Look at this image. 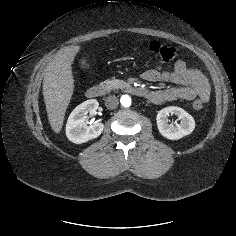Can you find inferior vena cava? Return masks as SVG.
<instances>
[{
    "label": "inferior vena cava",
    "mask_w": 236,
    "mask_h": 236,
    "mask_svg": "<svg viewBox=\"0 0 236 236\" xmlns=\"http://www.w3.org/2000/svg\"><path fill=\"white\" fill-rule=\"evenodd\" d=\"M119 104L118 98L114 95H110L105 99V106L109 109H115Z\"/></svg>",
    "instance_id": "obj_1"
}]
</instances>
